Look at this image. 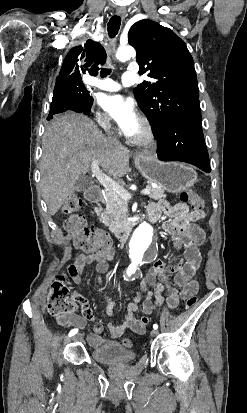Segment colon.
<instances>
[{
	"label": "colon",
	"mask_w": 247,
	"mask_h": 413,
	"mask_svg": "<svg viewBox=\"0 0 247 413\" xmlns=\"http://www.w3.org/2000/svg\"><path fill=\"white\" fill-rule=\"evenodd\" d=\"M180 199L183 202H190L196 210H201L203 207L200 196L191 190L182 192ZM82 208L83 200L79 197L72 196L65 201L61 209L65 216L64 229L73 236L75 246L85 248L89 245L90 249L97 252L104 260H112L115 256L114 247L108 244V238L105 234L90 227L86 218L80 214ZM70 295L71 293L63 282V278L53 282L47 303L49 314H72L73 307H77V304L69 303ZM197 302V298H186V307L193 308ZM122 343L125 347H132V341L128 338L123 339Z\"/></svg>",
	"instance_id": "1"
}]
</instances>
